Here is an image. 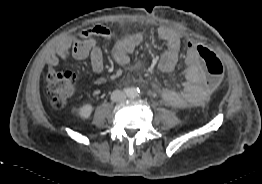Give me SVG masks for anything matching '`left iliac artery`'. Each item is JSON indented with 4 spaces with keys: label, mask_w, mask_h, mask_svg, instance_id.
I'll return each instance as SVG.
<instances>
[{
    "label": "left iliac artery",
    "mask_w": 262,
    "mask_h": 184,
    "mask_svg": "<svg viewBox=\"0 0 262 184\" xmlns=\"http://www.w3.org/2000/svg\"><path fill=\"white\" fill-rule=\"evenodd\" d=\"M135 92H136V91H135ZM137 92H140V91H139V90H137ZM135 95H136V93H135ZM135 95H134V93H133V95H132V96L134 97Z\"/></svg>",
    "instance_id": "44dca946"
}]
</instances>
